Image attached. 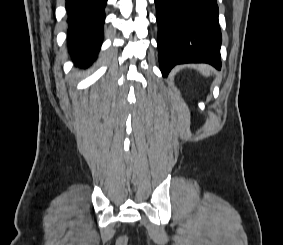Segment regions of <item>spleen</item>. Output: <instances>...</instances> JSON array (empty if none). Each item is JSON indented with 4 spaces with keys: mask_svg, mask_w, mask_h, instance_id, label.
Segmentation results:
<instances>
[{
    "mask_svg": "<svg viewBox=\"0 0 283 245\" xmlns=\"http://www.w3.org/2000/svg\"><path fill=\"white\" fill-rule=\"evenodd\" d=\"M197 70L205 76H210L212 74V68L208 65H198Z\"/></svg>",
    "mask_w": 283,
    "mask_h": 245,
    "instance_id": "spleen-1",
    "label": "spleen"
}]
</instances>
